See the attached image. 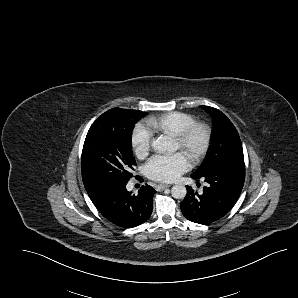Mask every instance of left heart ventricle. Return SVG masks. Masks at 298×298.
<instances>
[{
  "instance_id": "b2bd125f",
  "label": "left heart ventricle",
  "mask_w": 298,
  "mask_h": 298,
  "mask_svg": "<svg viewBox=\"0 0 298 298\" xmlns=\"http://www.w3.org/2000/svg\"><path fill=\"white\" fill-rule=\"evenodd\" d=\"M196 143V136H192L180 144L164 139L162 142V149L164 151H178L183 158L187 159L195 149Z\"/></svg>"
}]
</instances>
